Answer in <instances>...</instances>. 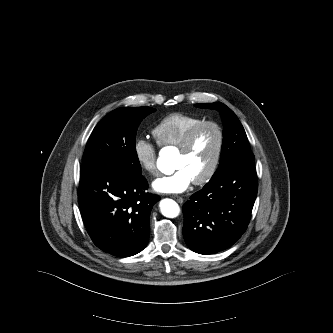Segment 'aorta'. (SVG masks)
I'll return each instance as SVG.
<instances>
[{"label": "aorta", "instance_id": "762f6f07", "mask_svg": "<svg viewBox=\"0 0 333 333\" xmlns=\"http://www.w3.org/2000/svg\"><path fill=\"white\" fill-rule=\"evenodd\" d=\"M172 158L170 148L165 147L160 150L159 157L157 159V167L164 174H171L174 171ZM159 207L162 215L167 218H175L180 213L179 205L172 199L166 198L161 200Z\"/></svg>", "mask_w": 333, "mask_h": 333}]
</instances>
